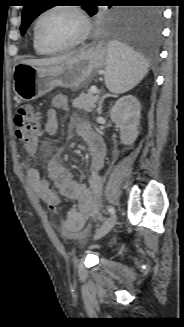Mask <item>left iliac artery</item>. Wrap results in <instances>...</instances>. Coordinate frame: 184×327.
<instances>
[{"instance_id":"left-iliac-artery-1","label":"left iliac artery","mask_w":184,"mask_h":327,"mask_svg":"<svg viewBox=\"0 0 184 327\" xmlns=\"http://www.w3.org/2000/svg\"><path fill=\"white\" fill-rule=\"evenodd\" d=\"M108 211H109L110 214H114L115 209L112 206H108Z\"/></svg>"}]
</instances>
